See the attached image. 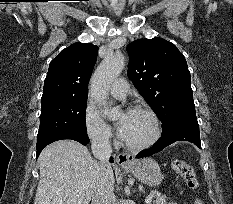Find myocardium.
<instances>
[{"mask_svg":"<svg viewBox=\"0 0 233 204\" xmlns=\"http://www.w3.org/2000/svg\"><path fill=\"white\" fill-rule=\"evenodd\" d=\"M128 112H142L147 114L150 117L153 124V133L147 141L140 144H131L122 138L123 145L126 149L133 152H140L151 148L153 145L157 143L162 134L161 122L158 115L153 109L143 105L133 106L129 109Z\"/></svg>","mask_w":233,"mask_h":204,"instance_id":"1","label":"myocardium"}]
</instances>
